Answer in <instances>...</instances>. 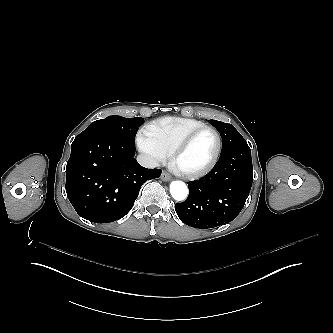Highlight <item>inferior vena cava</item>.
<instances>
[{"label": "inferior vena cava", "mask_w": 333, "mask_h": 333, "mask_svg": "<svg viewBox=\"0 0 333 333\" xmlns=\"http://www.w3.org/2000/svg\"><path fill=\"white\" fill-rule=\"evenodd\" d=\"M137 160L143 167H146V168H155V167H158V165H159V163L155 159H153L145 154H140L138 156Z\"/></svg>", "instance_id": "obj_1"}]
</instances>
